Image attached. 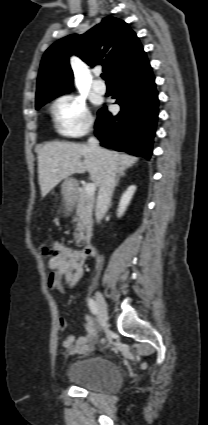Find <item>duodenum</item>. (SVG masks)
Segmentation results:
<instances>
[{"mask_svg": "<svg viewBox=\"0 0 208 425\" xmlns=\"http://www.w3.org/2000/svg\"><path fill=\"white\" fill-rule=\"evenodd\" d=\"M82 251L86 256L94 253V247L90 243L83 244Z\"/></svg>", "mask_w": 208, "mask_h": 425, "instance_id": "obj_1", "label": "duodenum"}]
</instances>
